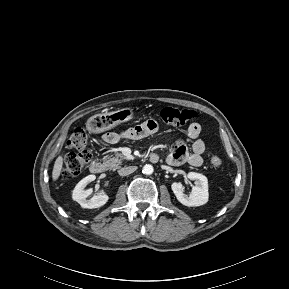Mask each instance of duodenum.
<instances>
[{"instance_id": "obj_1", "label": "duodenum", "mask_w": 289, "mask_h": 289, "mask_svg": "<svg viewBox=\"0 0 289 289\" xmlns=\"http://www.w3.org/2000/svg\"><path fill=\"white\" fill-rule=\"evenodd\" d=\"M149 160L152 163H156L159 160V156L157 154L153 153L149 156ZM90 171L93 174H101L105 171V164L101 161H94L90 165Z\"/></svg>"}]
</instances>
